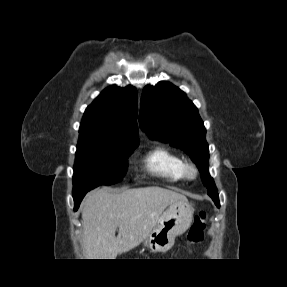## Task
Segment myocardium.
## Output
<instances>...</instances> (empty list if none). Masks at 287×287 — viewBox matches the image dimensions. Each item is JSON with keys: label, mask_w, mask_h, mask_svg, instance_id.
<instances>
[{"label": "myocardium", "mask_w": 287, "mask_h": 287, "mask_svg": "<svg viewBox=\"0 0 287 287\" xmlns=\"http://www.w3.org/2000/svg\"><path fill=\"white\" fill-rule=\"evenodd\" d=\"M183 176L188 180H193L198 176V168L191 162L184 163Z\"/></svg>", "instance_id": "1"}]
</instances>
